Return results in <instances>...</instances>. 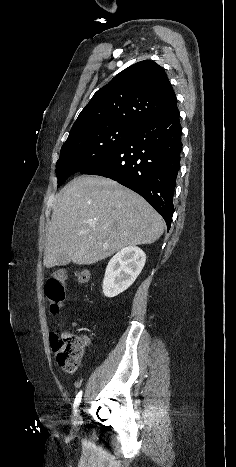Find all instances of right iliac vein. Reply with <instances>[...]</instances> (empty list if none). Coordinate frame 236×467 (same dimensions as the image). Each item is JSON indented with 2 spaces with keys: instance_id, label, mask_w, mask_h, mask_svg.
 <instances>
[{
  "instance_id": "obj_1",
  "label": "right iliac vein",
  "mask_w": 236,
  "mask_h": 467,
  "mask_svg": "<svg viewBox=\"0 0 236 467\" xmlns=\"http://www.w3.org/2000/svg\"><path fill=\"white\" fill-rule=\"evenodd\" d=\"M80 422H81L80 415H77L76 418H75V424L78 425V424H80Z\"/></svg>"
}]
</instances>
